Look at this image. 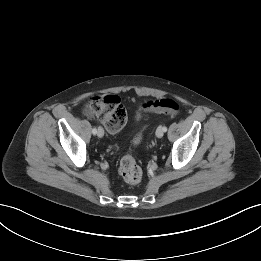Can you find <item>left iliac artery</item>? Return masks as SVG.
<instances>
[{
	"label": "left iliac artery",
	"mask_w": 261,
	"mask_h": 261,
	"mask_svg": "<svg viewBox=\"0 0 261 261\" xmlns=\"http://www.w3.org/2000/svg\"><path fill=\"white\" fill-rule=\"evenodd\" d=\"M163 130H164V132H166L167 131V127H163Z\"/></svg>",
	"instance_id": "left-iliac-artery-1"
}]
</instances>
